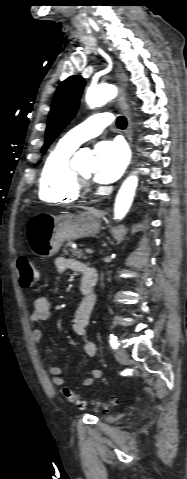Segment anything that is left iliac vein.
I'll use <instances>...</instances> for the list:
<instances>
[{
  "instance_id": "left-iliac-vein-1",
  "label": "left iliac vein",
  "mask_w": 187,
  "mask_h": 479,
  "mask_svg": "<svg viewBox=\"0 0 187 479\" xmlns=\"http://www.w3.org/2000/svg\"><path fill=\"white\" fill-rule=\"evenodd\" d=\"M115 356L118 361L121 363L125 364L128 361V354L125 349L119 348L118 350L115 351Z\"/></svg>"
}]
</instances>
